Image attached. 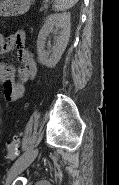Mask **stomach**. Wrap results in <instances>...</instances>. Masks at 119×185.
I'll list each match as a JSON object with an SVG mask.
<instances>
[{
    "instance_id": "0dacf381",
    "label": "stomach",
    "mask_w": 119,
    "mask_h": 185,
    "mask_svg": "<svg viewBox=\"0 0 119 185\" xmlns=\"http://www.w3.org/2000/svg\"><path fill=\"white\" fill-rule=\"evenodd\" d=\"M34 0H0V16L9 17L27 12Z\"/></svg>"
}]
</instances>
